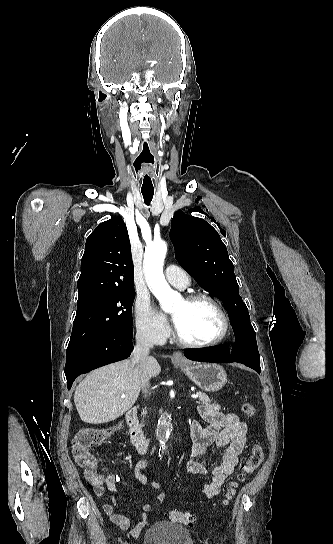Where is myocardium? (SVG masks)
Instances as JSON below:
<instances>
[{
    "label": "myocardium",
    "instance_id": "myocardium-1",
    "mask_svg": "<svg viewBox=\"0 0 333 544\" xmlns=\"http://www.w3.org/2000/svg\"><path fill=\"white\" fill-rule=\"evenodd\" d=\"M184 301L187 304H194V303L201 302V301H207V302L211 303L217 309V311L220 314V317H221V320H222V328H221V332L219 333V335L216 338H214V339H212L210 341H207V342L198 343V342L189 341V340L185 339L184 337H182V335L179 333V331H178V329H177V327L175 325V328H174V338H175V340L179 344H181L182 346H185V347H188V348H195V349L209 348V347H213V346H216L219 343H221L226 338V336L228 335L229 328H230L229 316H228L227 311H226L225 307L223 306L222 302L219 299H217L216 297H214V296H212L210 294H206V293L190 294V295L185 297Z\"/></svg>",
    "mask_w": 333,
    "mask_h": 544
}]
</instances>
